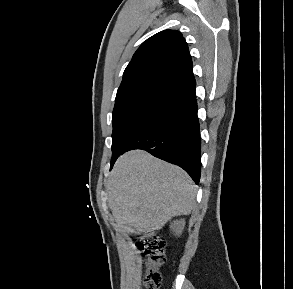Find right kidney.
<instances>
[{"label":"right kidney","instance_id":"1","mask_svg":"<svg viewBox=\"0 0 293 289\" xmlns=\"http://www.w3.org/2000/svg\"><path fill=\"white\" fill-rule=\"evenodd\" d=\"M185 222L184 220L175 221L174 224L171 226L176 234H180L184 228Z\"/></svg>","mask_w":293,"mask_h":289}]
</instances>
